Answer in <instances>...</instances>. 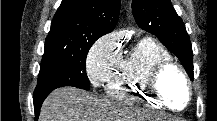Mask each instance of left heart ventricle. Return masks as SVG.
Wrapping results in <instances>:
<instances>
[{"label": "left heart ventricle", "mask_w": 217, "mask_h": 121, "mask_svg": "<svg viewBox=\"0 0 217 121\" xmlns=\"http://www.w3.org/2000/svg\"><path fill=\"white\" fill-rule=\"evenodd\" d=\"M160 89L164 97L176 108L184 106L187 99L185 83L174 70L168 71L160 80Z\"/></svg>", "instance_id": "obj_1"}]
</instances>
